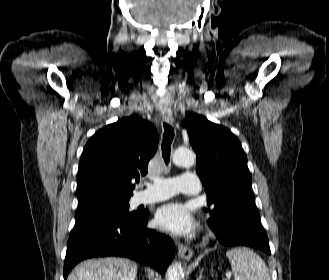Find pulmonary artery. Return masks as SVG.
<instances>
[{
    "mask_svg": "<svg viewBox=\"0 0 329 280\" xmlns=\"http://www.w3.org/2000/svg\"><path fill=\"white\" fill-rule=\"evenodd\" d=\"M200 182L196 174L186 172L178 177L156 178L148 188L137 194L139 204H149L171 198L176 193L196 195L199 192Z\"/></svg>",
    "mask_w": 329,
    "mask_h": 280,
    "instance_id": "1",
    "label": "pulmonary artery"
}]
</instances>
